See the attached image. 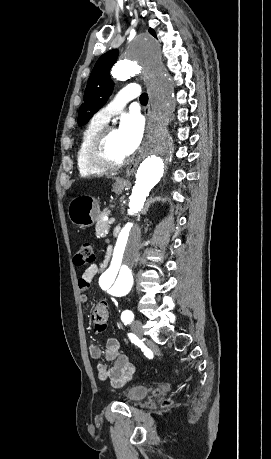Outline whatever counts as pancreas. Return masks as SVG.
<instances>
[{"label": "pancreas", "instance_id": "pancreas-1", "mask_svg": "<svg viewBox=\"0 0 271 459\" xmlns=\"http://www.w3.org/2000/svg\"><path fill=\"white\" fill-rule=\"evenodd\" d=\"M104 216H108V214H104ZM109 231V220L99 218L96 224V233L99 238H102L106 233Z\"/></svg>", "mask_w": 271, "mask_h": 459}]
</instances>
